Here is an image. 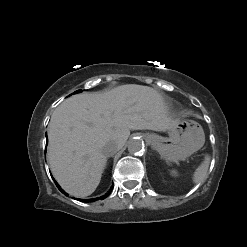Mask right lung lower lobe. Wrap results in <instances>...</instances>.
Here are the masks:
<instances>
[{"instance_id": "98d812e1", "label": "right lung lower lobe", "mask_w": 247, "mask_h": 247, "mask_svg": "<svg viewBox=\"0 0 247 247\" xmlns=\"http://www.w3.org/2000/svg\"><path fill=\"white\" fill-rule=\"evenodd\" d=\"M54 182H55V180H54ZM55 184L57 185V187L59 188V190L63 193V190L60 188V186L55 182ZM111 193V190L108 192V194H106L105 196H103L102 197V199L103 198H105V197H107L109 194ZM66 196H68V194H66V193H64ZM99 198H95V199H77V200H79V201H81V202H94V201H96V200H98Z\"/></svg>"}]
</instances>
